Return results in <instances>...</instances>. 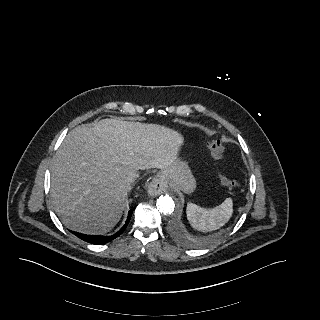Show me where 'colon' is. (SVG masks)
<instances>
[{
  "instance_id": "colon-1",
  "label": "colon",
  "mask_w": 320,
  "mask_h": 320,
  "mask_svg": "<svg viewBox=\"0 0 320 320\" xmlns=\"http://www.w3.org/2000/svg\"><path fill=\"white\" fill-rule=\"evenodd\" d=\"M209 146H210V149H211L213 155L216 158L222 157L223 147L218 139L212 140L210 142ZM219 178H220L221 184L228 189L236 188L238 186V182L236 180L226 176L223 173L219 174Z\"/></svg>"
}]
</instances>
